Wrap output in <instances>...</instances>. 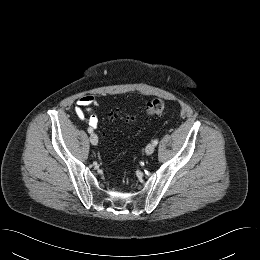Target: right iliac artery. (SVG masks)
Listing matches in <instances>:
<instances>
[{
	"label": "right iliac artery",
	"instance_id": "obj_1",
	"mask_svg": "<svg viewBox=\"0 0 260 260\" xmlns=\"http://www.w3.org/2000/svg\"><path fill=\"white\" fill-rule=\"evenodd\" d=\"M93 130L91 128H88V133H92Z\"/></svg>",
	"mask_w": 260,
	"mask_h": 260
}]
</instances>
